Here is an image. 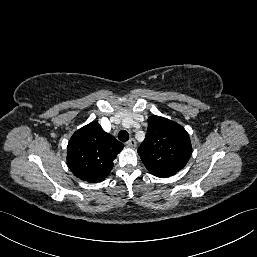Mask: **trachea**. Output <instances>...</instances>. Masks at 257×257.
<instances>
[{
  "instance_id": "1",
  "label": "trachea",
  "mask_w": 257,
  "mask_h": 257,
  "mask_svg": "<svg viewBox=\"0 0 257 257\" xmlns=\"http://www.w3.org/2000/svg\"><path fill=\"white\" fill-rule=\"evenodd\" d=\"M118 139L122 142H126L129 140V134L126 130H121L119 133H118Z\"/></svg>"
}]
</instances>
